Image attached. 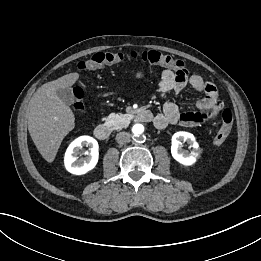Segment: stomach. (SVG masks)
Returning a JSON list of instances; mask_svg holds the SVG:
<instances>
[{"instance_id":"1","label":"stomach","mask_w":261,"mask_h":261,"mask_svg":"<svg viewBox=\"0 0 261 261\" xmlns=\"http://www.w3.org/2000/svg\"><path fill=\"white\" fill-rule=\"evenodd\" d=\"M144 74L142 72H137L135 77L140 79V78H143Z\"/></svg>"}]
</instances>
